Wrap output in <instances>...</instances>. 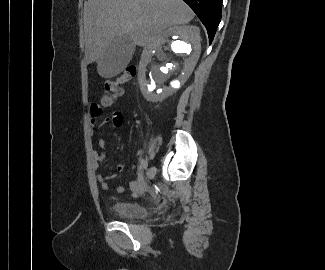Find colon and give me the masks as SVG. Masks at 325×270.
<instances>
[{
    "mask_svg": "<svg viewBox=\"0 0 325 270\" xmlns=\"http://www.w3.org/2000/svg\"><path fill=\"white\" fill-rule=\"evenodd\" d=\"M136 75L135 67H128L125 73L118 79L107 81L104 85V92L100 103L104 107L112 106L122 92V85L131 80Z\"/></svg>",
    "mask_w": 325,
    "mask_h": 270,
    "instance_id": "colon-1",
    "label": "colon"
}]
</instances>
